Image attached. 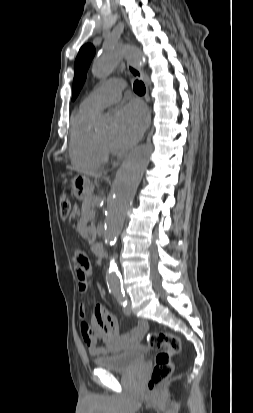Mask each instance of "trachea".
I'll use <instances>...</instances> for the list:
<instances>
[{"instance_id":"3493384b","label":"trachea","mask_w":253,"mask_h":413,"mask_svg":"<svg viewBox=\"0 0 253 413\" xmlns=\"http://www.w3.org/2000/svg\"><path fill=\"white\" fill-rule=\"evenodd\" d=\"M133 89L134 91L139 94L142 95L145 93L146 89H145V85L143 82L136 80L133 84Z\"/></svg>"}]
</instances>
